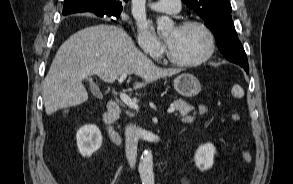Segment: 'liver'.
<instances>
[{
	"label": "liver",
	"mask_w": 293,
	"mask_h": 184,
	"mask_svg": "<svg viewBox=\"0 0 293 184\" xmlns=\"http://www.w3.org/2000/svg\"><path fill=\"white\" fill-rule=\"evenodd\" d=\"M180 69L157 67L139 51L124 29L107 24L84 28L71 35L57 51L47 76L42 83L47 115L80 105L88 93L83 80L90 75L113 83L122 74H135L143 83L138 89L162 77L173 76Z\"/></svg>",
	"instance_id": "6515ba94"
}]
</instances>
